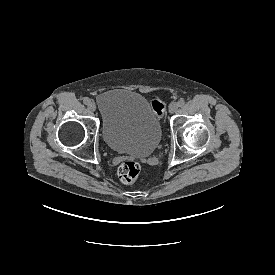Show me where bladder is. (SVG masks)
Returning <instances> with one entry per match:
<instances>
[{
    "mask_svg": "<svg viewBox=\"0 0 275 275\" xmlns=\"http://www.w3.org/2000/svg\"><path fill=\"white\" fill-rule=\"evenodd\" d=\"M102 135L109 148L135 157H147L158 146L161 124L145 98L130 90H111L96 99Z\"/></svg>",
    "mask_w": 275,
    "mask_h": 275,
    "instance_id": "31cf9c89",
    "label": "bladder"
}]
</instances>
